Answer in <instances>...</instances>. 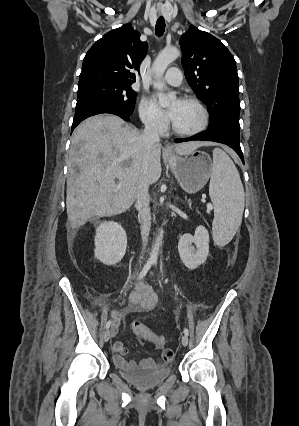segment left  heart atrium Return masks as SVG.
Wrapping results in <instances>:
<instances>
[{"label": "left heart atrium", "mask_w": 299, "mask_h": 426, "mask_svg": "<svg viewBox=\"0 0 299 426\" xmlns=\"http://www.w3.org/2000/svg\"><path fill=\"white\" fill-rule=\"evenodd\" d=\"M178 104L179 101H176V103L167 110L166 116L168 119L172 121L175 119L178 110Z\"/></svg>", "instance_id": "39dd6f15"}]
</instances>
